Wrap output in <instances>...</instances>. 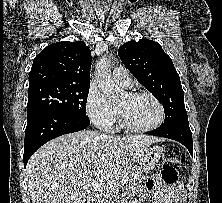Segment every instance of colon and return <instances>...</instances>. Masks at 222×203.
Returning <instances> with one entry per match:
<instances>
[{
  "instance_id": "obj_1",
  "label": "colon",
  "mask_w": 222,
  "mask_h": 203,
  "mask_svg": "<svg viewBox=\"0 0 222 203\" xmlns=\"http://www.w3.org/2000/svg\"><path fill=\"white\" fill-rule=\"evenodd\" d=\"M183 160L184 155L176 145H168L165 148L161 168V179L164 183L170 185L177 183L179 167Z\"/></svg>"
}]
</instances>
